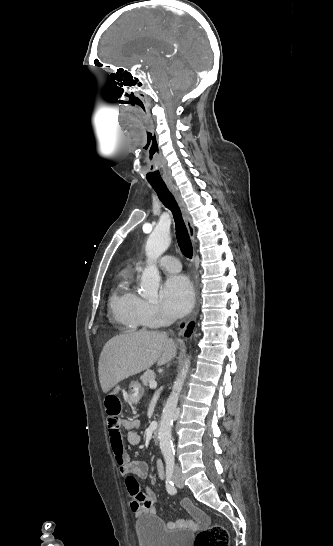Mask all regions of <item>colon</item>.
<instances>
[{
  "label": "colon",
  "instance_id": "5ec220e1",
  "mask_svg": "<svg viewBox=\"0 0 333 546\" xmlns=\"http://www.w3.org/2000/svg\"><path fill=\"white\" fill-rule=\"evenodd\" d=\"M106 414L108 418H119L121 414L122 400L116 394H110L105 399ZM229 536L227 530L213 524L201 530L195 537L194 546H228Z\"/></svg>",
  "mask_w": 333,
  "mask_h": 546
}]
</instances>
